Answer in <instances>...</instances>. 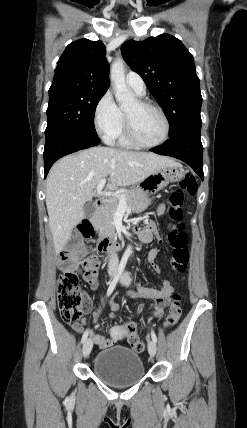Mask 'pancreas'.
Returning <instances> with one entry per match:
<instances>
[{"label": "pancreas", "instance_id": "cf45deb5", "mask_svg": "<svg viewBox=\"0 0 247 428\" xmlns=\"http://www.w3.org/2000/svg\"><path fill=\"white\" fill-rule=\"evenodd\" d=\"M120 195L126 197V204L129 209L137 213L146 209L151 202L143 190L135 187L121 191ZM119 204V199L112 197L107 200L106 204L98 212L95 225L101 233H104L107 229L114 230L113 220Z\"/></svg>", "mask_w": 247, "mask_h": 428}]
</instances>
